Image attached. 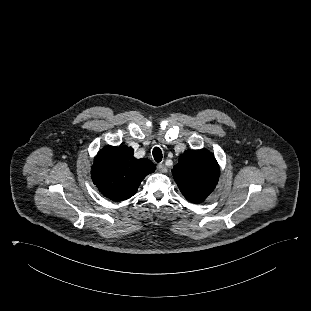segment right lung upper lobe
I'll use <instances>...</instances> for the list:
<instances>
[{
	"label": "right lung upper lobe",
	"instance_id": "obj_1",
	"mask_svg": "<svg viewBox=\"0 0 311 311\" xmlns=\"http://www.w3.org/2000/svg\"><path fill=\"white\" fill-rule=\"evenodd\" d=\"M154 170V163L147 158L136 159L131 147L106 146L94 159L91 178L104 196L123 201L132 197L141 181Z\"/></svg>",
	"mask_w": 311,
	"mask_h": 311
}]
</instances>
